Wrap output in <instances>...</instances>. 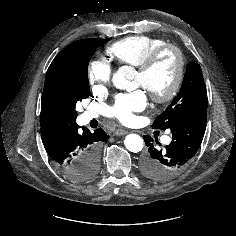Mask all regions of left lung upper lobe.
<instances>
[{"mask_svg": "<svg viewBox=\"0 0 236 236\" xmlns=\"http://www.w3.org/2000/svg\"><path fill=\"white\" fill-rule=\"evenodd\" d=\"M207 104V90L201 68L199 64L192 62L187 66L180 92L170 106L155 119L152 128L168 129L186 114L207 109Z\"/></svg>", "mask_w": 236, "mask_h": 236, "instance_id": "1", "label": "left lung upper lobe"}]
</instances>
